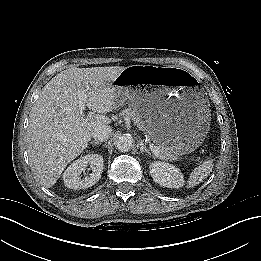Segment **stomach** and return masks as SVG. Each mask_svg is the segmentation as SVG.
I'll return each instance as SVG.
<instances>
[{"mask_svg": "<svg viewBox=\"0 0 261 261\" xmlns=\"http://www.w3.org/2000/svg\"><path fill=\"white\" fill-rule=\"evenodd\" d=\"M142 74L167 81L151 84V92L134 89L130 83ZM115 81V107L128 99L145 119V129L153 142L170 146L177 155L191 153L202 144L209 129L210 111L208 98L196 79L180 69L134 65L125 68Z\"/></svg>", "mask_w": 261, "mask_h": 261, "instance_id": "1", "label": "stomach"}]
</instances>
